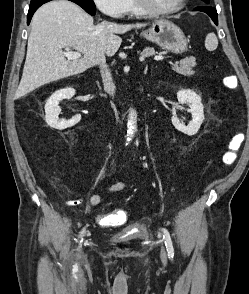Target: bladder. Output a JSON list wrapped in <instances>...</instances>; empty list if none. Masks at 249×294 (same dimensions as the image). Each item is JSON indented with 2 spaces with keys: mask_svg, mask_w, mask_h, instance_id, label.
<instances>
[{
  "mask_svg": "<svg viewBox=\"0 0 249 294\" xmlns=\"http://www.w3.org/2000/svg\"><path fill=\"white\" fill-rule=\"evenodd\" d=\"M136 228H138V232H127L123 231L121 233H118L111 237L112 241L116 243H129L133 241H139V240H146L148 239V232L146 230L142 231L140 228V225H135Z\"/></svg>",
  "mask_w": 249,
  "mask_h": 294,
  "instance_id": "31cf9c89",
  "label": "bladder"
}]
</instances>
